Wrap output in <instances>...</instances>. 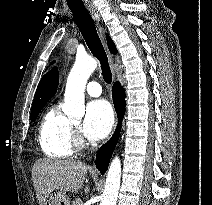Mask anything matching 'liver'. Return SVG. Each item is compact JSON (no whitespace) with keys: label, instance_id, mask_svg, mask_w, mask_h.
Instances as JSON below:
<instances>
[{"label":"liver","instance_id":"1","mask_svg":"<svg viewBox=\"0 0 212 205\" xmlns=\"http://www.w3.org/2000/svg\"><path fill=\"white\" fill-rule=\"evenodd\" d=\"M89 166L73 160L40 159L32 169L34 189L39 205H47L54 190L78 193L85 181ZM84 192H89L86 185Z\"/></svg>","mask_w":212,"mask_h":205}]
</instances>
